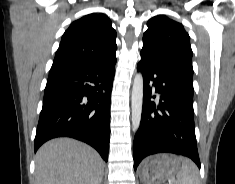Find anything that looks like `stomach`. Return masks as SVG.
Here are the masks:
<instances>
[{"label":"stomach","instance_id":"0dacf381","mask_svg":"<svg viewBox=\"0 0 235 184\" xmlns=\"http://www.w3.org/2000/svg\"><path fill=\"white\" fill-rule=\"evenodd\" d=\"M180 168V156L158 154L153 160L140 166V178L145 184H161L165 180H172Z\"/></svg>","mask_w":235,"mask_h":184}]
</instances>
